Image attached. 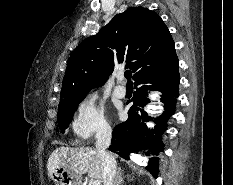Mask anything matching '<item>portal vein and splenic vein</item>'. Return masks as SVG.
Returning a JSON list of instances; mask_svg holds the SVG:
<instances>
[{
	"mask_svg": "<svg viewBox=\"0 0 233 185\" xmlns=\"http://www.w3.org/2000/svg\"><path fill=\"white\" fill-rule=\"evenodd\" d=\"M91 184L92 185H100V181L99 180H94Z\"/></svg>",
	"mask_w": 233,
	"mask_h": 185,
	"instance_id": "18ae733b",
	"label": "portal vein and splenic vein"
}]
</instances>
